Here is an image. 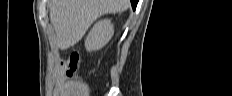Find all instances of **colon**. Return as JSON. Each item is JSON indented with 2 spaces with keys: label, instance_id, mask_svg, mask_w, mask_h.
Instances as JSON below:
<instances>
[{
  "label": "colon",
  "instance_id": "5ec220e1",
  "mask_svg": "<svg viewBox=\"0 0 232 96\" xmlns=\"http://www.w3.org/2000/svg\"><path fill=\"white\" fill-rule=\"evenodd\" d=\"M79 54L73 51L69 57L61 62V68L65 71L67 76H72L78 69Z\"/></svg>",
  "mask_w": 232,
  "mask_h": 96
}]
</instances>
